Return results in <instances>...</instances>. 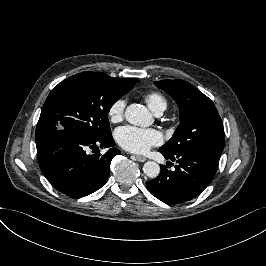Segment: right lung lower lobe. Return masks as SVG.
Returning a JSON list of instances; mask_svg holds the SVG:
<instances>
[{"instance_id":"1","label":"right lung lower lobe","mask_w":266,"mask_h":266,"mask_svg":"<svg viewBox=\"0 0 266 266\" xmlns=\"http://www.w3.org/2000/svg\"><path fill=\"white\" fill-rule=\"evenodd\" d=\"M114 145L112 134L93 139L68 131H57L36 142L40 168L58 191L73 198L87 196L101 188L108 180L110 163L116 148L105 154L99 152L88 155V147L93 151Z\"/></svg>"}]
</instances>
